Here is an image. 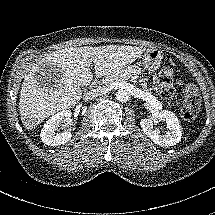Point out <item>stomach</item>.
Masks as SVG:
<instances>
[{"label":"stomach","mask_w":215,"mask_h":215,"mask_svg":"<svg viewBox=\"0 0 215 215\" xmlns=\"http://www.w3.org/2000/svg\"><path fill=\"white\" fill-rule=\"evenodd\" d=\"M143 56V65L147 70L156 71L163 60V51L156 47H149L144 53Z\"/></svg>","instance_id":"obj_1"}]
</instances>
